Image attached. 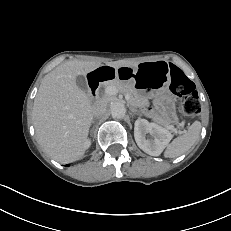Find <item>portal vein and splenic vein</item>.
I'll return each mask as SVG.
<instances>
[{
	"label": "portal vein and splenic vein",
	"instance_id": "obj_1",
	"mask_svg": "<svg viewBox=\"0 0 231 231\" xmlns=\"http://www.w3.org/2000/svg\"><path fill=\"white\" fill-rule=\"evenodd\" d=\"M118 93V89L115 86H108L105 88V94L107 95H116ZM125 99L128 101L130 96L125 94ZM175 133H177L176 129H173Z\"/></svg>",
	"mask_w": 231,
	"mask_h": 231
}]
</instances>
